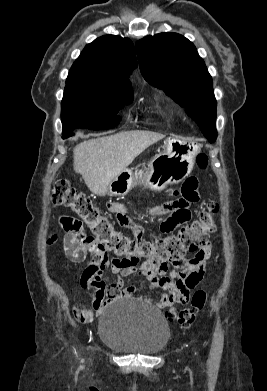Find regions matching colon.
Masks as SVG:
<instances>
[{
	"label": "colon",
	"mask_w": 267,
	"mask_h": 391,
	"mask_svg": "<svg viewBox=\"0 0 267 391\" xmlns=\"http://www.w3.org/2000/svg\"><path fill=\"white\" fill-rule=\"evenodd\" d=\"M202 170L208 166V157L199 154L196 158ZM51 201L74 213L85 224L91 234L83 241L88 253L112 254L126 266L143 265L156 270L165 263H178L187 253L198 252L208 242L215 231V217L219 207L215 202H208L199 216L183 225L178 232L170 235L143 240L129 237L118 231L109 217L85 194L71 187L68 182L58 181L51 192ZM206 302V292L194 293L188 308H171L169 317L181 325L192 324Z\"/></svg>",
	"instance_id": "colon-1"
}]
</instances>
